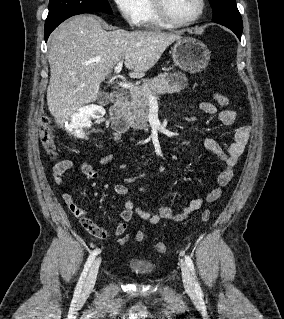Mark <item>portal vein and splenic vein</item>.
Here are the masks:
<instances>
[{
  "label": "portal vein and splenic vein",
  "instance_id": "18ae733b",
  "mask_svg": "<svg viewBox=\"0 0 284 319\" xmlns=\"http://www.w3.org/2000/svg\"><path fill=\"white\" fill-rule=\"evenodd\" d=\"M122 66H123V61H120L117 63L115 69H114V73L118 74L120 73V71L122 70ZM120 87L124 88V89H129L130 91H133L135 89H137L134 85L130 84V83H125V82H119L118 83ZM149 102L153 103L157 101V98L155 96L149 95L148 96Z\"/></svg>",
  "mask_w": 284,
  "mask_h": 319
}]
</instances>
